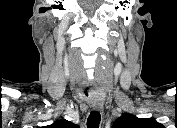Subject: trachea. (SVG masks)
<instances>
[{"mask_svg": "<svg viewBox=\"0 0 177 128\" xmlns=\"http://www.w3.org/2000/svg\"><path fill=\"white\" fill-rule=\"evenodd\" d=\"M101 115L98 111H91L87 119V128H99Z\"/></svg>", "mask_w": 177, "mask_h": 128, "instance_id": "1", "label": "trachea"}]
</instances>
